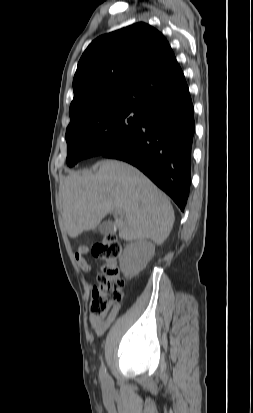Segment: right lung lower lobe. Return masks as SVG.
<instances>
[{
    "mask_svg": "<svg viewBox=\"0 0 253 413\" xmlns=\"http://www.w3.org/2000/svg\"><path fill=\"white\" fill-rule=\"evenodd\" d=\"M194 131V108L188 91L180 99L151 103L144 109L142 125L101 155L136 166L184 211Z\"/></svg>",
    "mask_w": 253,
    "mask_h": 413,
    "instance_id": "right-lung-lower-lobe-1",
    "label": "right lung lower lobe"
}]
</instances>
